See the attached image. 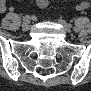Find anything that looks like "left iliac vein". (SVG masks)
I'll return each mask as SVG.
<instances>
[{
  "label": "left iliac vein",
  "instance_id": "obj_1",
  "mask_svg": "<svg viewBox=\"0 0 91 91\" xmlns=\"http://www.w3.org/2000/svg\"><path fill=\"white\" fill-rule=\"evenodd\" d=\"M58 22L63 26L65 31L71 32V28L68 27V23L65 20L59 19Z\"/></svg>",
  "mask_w": 91,
  "mask_h": 91
}]
</instances>
